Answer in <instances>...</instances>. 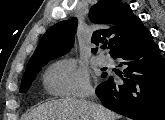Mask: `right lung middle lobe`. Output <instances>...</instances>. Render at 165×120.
<instances>
[{
    "label": "right lung middle lobe",
    "mask_w": 165,
    "mask_h": 120,
    "mask_svg": "<svg viewBox=\"0 0 165 120\" xmlns=\"http://www.w3.org/2000/svg\"><path fill=\"white\" fill-rule=\"evenodd\" d=\"M51 59H45L40 60L38 62H35L33 64H30L27 66L26 71L23 75L21 87H20V93L27 92L32 81L35 79L38 72L41 70V68L47 64V62ZM106 73L102 74V77H105Z\"/></svg>",
    "instance_id": "1"
}]
</instances>
